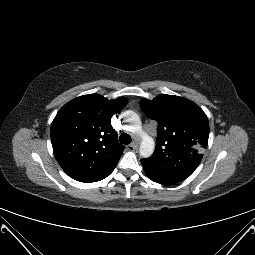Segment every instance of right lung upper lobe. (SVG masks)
I'll list each match as a JSON object with an SVG mask.
<instances>
[{"label":"right lung upper lobe","instance_id":"cb5924a9","mask_svg":"<svg viewBox=\"0 0 255 255\" xmlns=\"http://www.w3.org/2000/svg\"><path fill=\"white\" fill-rule=\"evenodd\" d=\"M126 103L123 97L108 100L89 94L59 110L51 125V141L66 174L80 182H96L113 171L124 147L111 126V117Z\"/></svg>","mask_w":255,"mask_h":255}]
</instances>
